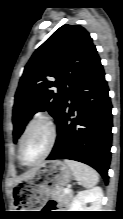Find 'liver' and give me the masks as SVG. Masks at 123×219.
<instances>
[{"instance_id": "6515ba94", "label": "liver", "mask_w": 123, "mask_h": 219, "mask_svg": "<svg viewBox=\"0 0 123 219\" xmlns=\"http://www.w3.org/2000/svg\"><path fill=\"white\" fill-rule=\"evenodd\" d=\"M35 170H36V168L30 170L29 172H27L23 177H21V178L18 180V182H21V181H23V180H26V179L30 178V177L34 174Z\"/></svg>"}]
</instances>
